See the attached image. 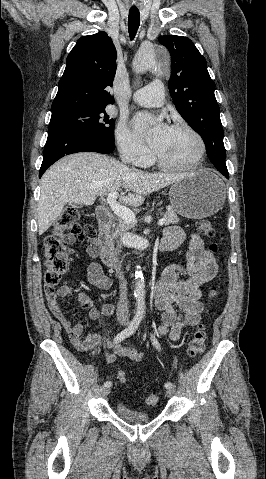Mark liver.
I'll return each instance as SVG.
<instances>
[{
    "mask_svg": "<svg viewBox=\"0 0 266 479\" xmlns=\"http://www.w3.org/2000/svg\"><path fill=\"white\" fill-rule=\"evenodd\" d=\"M187 174L147 173L129 168L115 159L94 152L69 155L52 165L41 178L37 207L38 232L44 234L61 215L67 203L92 205L96 198L122 188L119 198L140 206L144 196L186 177Z\"/></svg>",
    "mask_w": 266,
    "mask_h": 479,
    "instance_id": "6515ba94",
    "label": "liver"
}]
</instances>
